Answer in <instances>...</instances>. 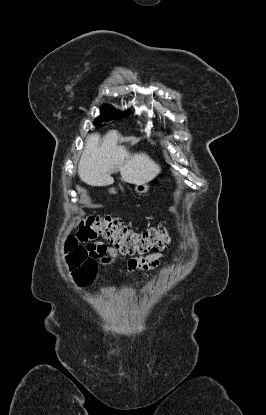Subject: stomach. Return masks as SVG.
<instances>
[{
	"label": "stomach",
	"mask_w": 266,
	"mask_h": 415,
	"mask_svg": "<svg viewBox=\"0 0 266 415\" xmlns=\"http://www.w3.org/2000/svg\"><path fill=\"white\" fill-rule=\"evenodd\" d=\"M135 191L138 194H145L149 191V185L147 183L136 184ZM110 193H116L114 189L110 190Z\"/></svg>",
	"instance_id": "1"
}]
</instances>
